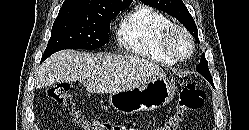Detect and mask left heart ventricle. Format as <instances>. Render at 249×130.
Instances as JSON below:
<instances>
[{
	"mask_svg": "<svg viewBox=\"0 0 249 130\" xmlns=\"http://www.w3.org/2000/svg\"><path fill=\"white\" fill-rule=\"evenodd\" d=\"M173 50L180 57H186L190 52L188 40L183 35H177L173 41Z\"/></svg>",
	"mask_w": 249,
	"mask_h": 130,
	"instance_id": "left-heart-ventricle-1",
	"label": "left heart ventricle"
}]
</instances>
